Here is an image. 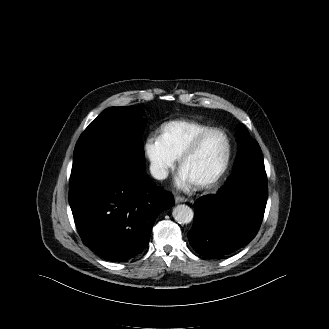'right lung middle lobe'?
Listing matches in <instances>:
<instances>
[{
    "label": "right lung middle lobe",
    "instance_id": "dd1d6c3e",
    "mask_svg": "<svg viewBox=\"0 0 329 329\" xmlns=\"http://www.w3.org/2000/svg\"><path fill=\"white\" fill-rule=\"evenodd\" d=\"M143 112L136 107H110L93 120L79 137L71 177L95 166H111L126 173L144 171L141 136Z\"/></svg>",
    "mask_w": 329,
    "mask_h": 329
}]
</instances>
